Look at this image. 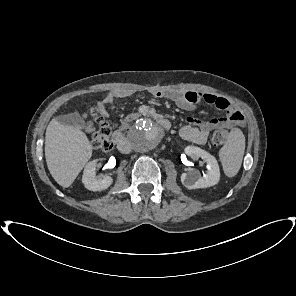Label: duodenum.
<instances>
[{
    "label": "duodenum",
    "instance_id": "410a0bca",
    "mask_svg": "<svg viewBox=\"0 0 296 296\" xmlns=\"http://www.w3.org/2000/svg\"><path fill=\"white\" fill-rule=\"evenodd\" d=\"M158 123L164 129H169L171 127V123L166 118L160 117L158 119ZM113 143L118 147V149L123 152L127 153L129 151V145L124 137V134L121 130H116L112 136Z\"/></svg>",
    "mask_w": 296,
    "mask_h": 296
}]
</instances>
